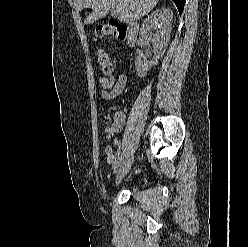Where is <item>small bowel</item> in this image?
<instances>
[{
  "label": "small bowel",
  "mask_w": 248,
  "mask_h": 247,
  "mask_svg": "<svg viewBox=\"0 0 248 247\" xmlns=\"http://www.w3.org/2000/svg\"><path fill=\"white\" fill-rule=\"evenodd\" d=\"M99 83L102 88V95L105 99L111 100L117 97L126 85V77L124 75L114 76L110 75L108 77H98ZM125 117L123 114H117L114 119L111 130L107 136L110 139V136L118 131H120L124 125ZM108 162L116 169L118 168V161L113 154V148L108 145L105 149Z\"/></svg>",
  "instance_id": "small-bowel-1"
}]
</instances>
